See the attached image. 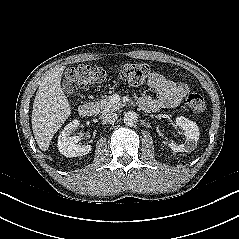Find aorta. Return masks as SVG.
<instances>
[{
    "instance_id": "1",
    "label": "aorta",
    "mask_w": 239,
    "mask_h": 239,
    "mask_svg": "<svg viewBox=\"0 0 239 239\" xmlns=\"http://www.w3.org/2000/svg\"><path fill=\"white\" fill-rule=\"evenodd\" d=\"M123 120L127 126H133L138 122V116L135 112L128 111L124 114Z\"/></svg>"
}]
</instances>
